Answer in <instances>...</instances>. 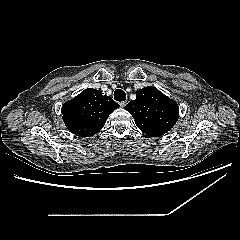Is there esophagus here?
Wrapping results in <instances>:
<instances>
[{
	"label": "esophagus",
	"instance_id": "obj_1",
	"mask_svg": "<svg viewBox=\"0 0 240 240\" xmlns=\"http://www.w3.org/2000/svg\"><path fill=\"white\" fill-rule=\"evenodd\" d=\"M126 104H127V101H122V102H120V106H121L122 108H124V107L126 106Z\"/></svg>",
	"mask_w": 240,
	"mask_h": 240
}]
</instances>
